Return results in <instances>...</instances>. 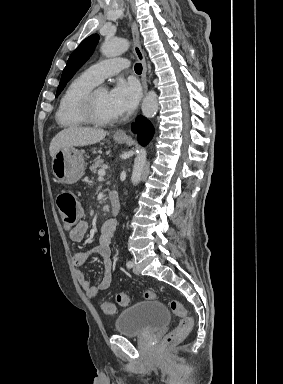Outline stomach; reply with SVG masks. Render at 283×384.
<instances>
[{
	"instance_id": "1",
	"label": "stomach",
	"mask_w": 283,
	"mask_h": 384,
	"mask_svg": "<svg viewBox=\"0 0 283 384\" xmlns=\"http://www.w3.org/2000/svg\"><path fill=\"white\" fill-rule=\"evenodd\" d=\"M117 144H125L128 136L125 138H114ZM84 158L80 150H76L73 146L58 150L54 158H52V172L58 182L62 184H76L82 178L84 168Z\"/></svg>"
}]
</instances>
